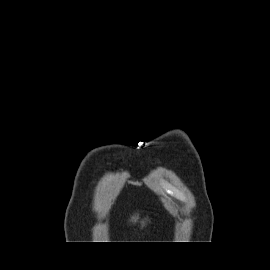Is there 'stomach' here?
Segmentation results:
<instances>
[{"label":"stomach","mask_w":270,"mask_h":270,"mask_svg":"<svg viewBox=\"0 0 270 270\" xmlns=\"http://www.w3.org/2000/svg\"><path fill=\"white\" fill-rule=\"evenodd\" d=\"M145 223H146V220H142V221H141V226H144Z\"/></svg>","instance_id":"1"}]
</instances>
